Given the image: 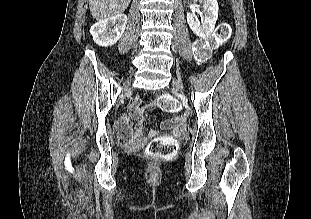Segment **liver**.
Segmentation results:
<instances>
[{
	"label": "liver",
	"instance_id": "6515ba94",
	"mask_svg": "<svg viewBox=\"0 0 311 219\" xmlns=\"http://www.w3.org/2000/svg\"><path fill=\"white\" fill-rule=\"evenodd\" d=\"M131 0H89V8L97 21L122 14Z\"/></svg>",
	"mask_w": 311,
	"mask_h": 219
}]
</instances>
